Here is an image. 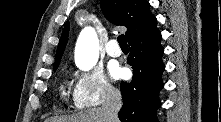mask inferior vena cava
<instances>
[{
	"label": "inferior vena cava",
	"mask_w": 221,
	"mask_h": 122,
	"mask_svg": "<svg viewBox=\"0 0 221 122\" xmlns=\"http://www.w3.org/2000/svg\"><path fill=\"white\" fill-rule=\"evenodd\" d=\"M122 106L121 93L112 88H105L102 109L107 122H118V112Z\"/></svg>",
	"instance_id": "obj_1"
}]
</instances>
